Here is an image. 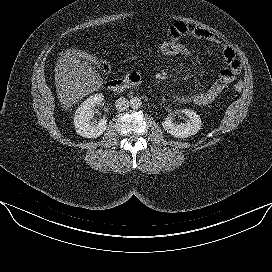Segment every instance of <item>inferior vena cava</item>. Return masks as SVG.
<instances>
[{
    "instance_id": "inferior-vena-cava-1",
    "label": "inferior vena cava",
    "mask_w": 272,
    "mask_h": 272,
    "mask_svg": "<svg viewBox=\"0 0 272 272\" xmlns=\"http://www.w3.org/2000/svg\"><path fill=\"white\" fill-rule=\"evenodd\" d=\"M115 107H116L117 111H120V112L127 110L129 107L128 99H126L124 97L118 98L115 102Z\"/></svg>"
}]
</instances>
